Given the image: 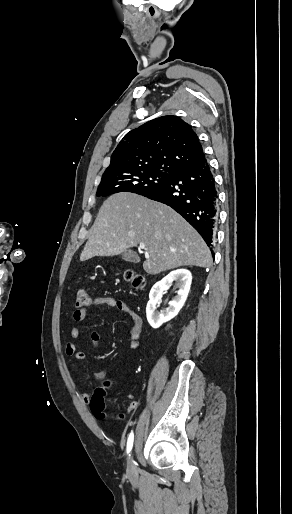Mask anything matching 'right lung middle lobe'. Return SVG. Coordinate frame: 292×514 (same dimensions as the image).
Masks as SVG:
<instances>
[{
	"mask_svg": "<svg viewBox=\"0 0 292 514\" xmlns=\"http://www.w3.org/2000/svg\"><path fill=\"white\" fill-rule=\"evenodd\" d=\"M172 175L166 172H145L102 179L97 196H108L118 192L143 195L164 184Z\"/></svg>",
	"mask_w": 292,
	"mask_h": 514,
	"instance_id": "obj_1",
	"label": "right lung middle lobe"
}]
</instances>
